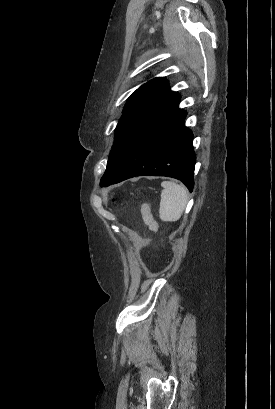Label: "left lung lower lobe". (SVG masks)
Instances as JSON below:
<instances>
[{
  "instance_id": "left-lung-lower-lobe-1",
  "label": "left lung lower lobe",
  "mask_w": 275,
  "mask_h": 409,
  "mask_svg": "<svg viewBox=\"0 0 275 409\" xmlns=\"http://www.w3.org/2000/svg\"><path fill=\"white\" fill-rule=\"evenodd\" d=\"M185 117L177 104L156 121L130 150L111 184L141 175L168 176L181 180L192 191L196 156Z\"/></svg>"
}]
</instances>
